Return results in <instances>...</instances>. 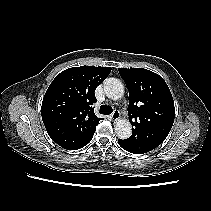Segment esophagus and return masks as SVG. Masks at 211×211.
<instances>
[{
  "instance_id": "1",
  "label": "esophagus",
  "mask_w": 211,
  "mask_h": 211,
  "mask_svg": "<svg viewBox=\"0 0 211 211\" xmlns=\"http://www.w3.org/2000/svg\"><path fill=\"white\" fill-rule=\"evenodd\" d=\"M119 117H120V113H119V111H117V110H115V111L112 113V115L110 116L111 120H113V121L118 120Z\"/></svg>"
}]
</instances>
